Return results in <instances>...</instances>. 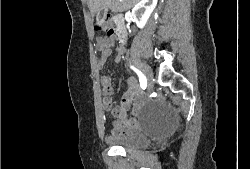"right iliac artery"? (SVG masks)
<instances>
[{
	"label": "right iliac artery",
	"instance_id": "1",
	"mask_svg": "<svg viewBox=\"0 0 250 169\" xmlns=\"http://www.w3.org/2000/svg\"><path fill=\"white\" fill-rule=\"evenodd\" d=\"M131 69H133L138 74L141 88L143 90L146 89L147 79L144 76V74L141 71H139L137 68H135L134 66H131Z\"/></svg>",
	"mask_w": 250,
	"mask_h": 169
}]
</instances>
